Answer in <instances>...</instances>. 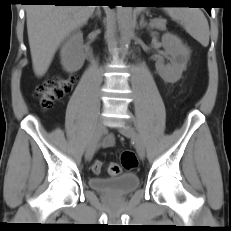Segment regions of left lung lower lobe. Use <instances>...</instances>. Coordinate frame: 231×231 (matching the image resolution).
Segmentation results:
<instances>
[{
	"instance_id": "obj_1",
	"label": "left lung lower lobe",
	"mask_w": 231,
	"mask_h": 231,
	"mask_svg": "<svg viewBox=\"0 0 231 231\" xmlns=\"http://www.w3.org/2000/svg\"><path fill=\"white\" fill-rule=\"evenodd\" d=\"M137 1L139 2L137 4H151V3H155L153 0H137ZM205 9L211 15V7H205Z\"/></svg>"
}]
</instances>
